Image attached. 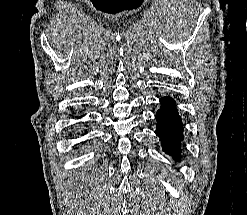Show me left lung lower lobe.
<instances>
[{
	"mask_svg": "<svg viewBox=\"0 0 247 215\" xmlns=\"http://www.w3.org/2000/svg\"><path fill=\"white\" fill-rule=\"evenodd\" d=\"M160 102L161 108L156 114V134L161 139L163 150L178 161L181 155L180 143L183 139L181 117L172 98L165 97Z\"/></svg>",
	"mask_w": 247,
	"mask_h": 215,
	"instance_id": "obj_1",
	"label": "left lung lower lobe"
}]
</instances>
